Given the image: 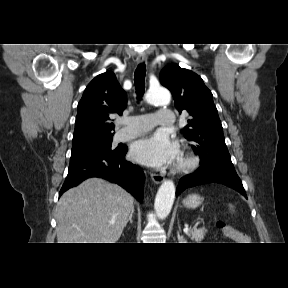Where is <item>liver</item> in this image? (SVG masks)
Returning <instances> with one entry per match:
<instances>
[{
	"mask_svg": "<svg viewBox=\"0 0 288 288\" xmlns=\"http://www.w3.org/2000/svg\"><path fill=\"white\" fill-rule=\"evenodd\" d=\"M134 198L118 185L90 178L66 191L57 204L58 243H116Z\"/></svg>",
	"mask_w": 288,
	"mask_h": 288,
	"instance_id": "1",
	"label": "liver"
}]
</instances>
